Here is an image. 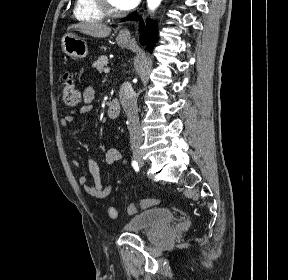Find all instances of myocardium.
I'll return each instance as SVG.
<instances>
[{"label": "myocardium", "mask_w": 288, "mask_h": 280, "mask_svg": "<svg viewBox=\"0 0 288 280\" xmlns=\"http://www.w3.org/2000/svg\"><path fill=\"white\" fill-rule=\"evenodd\" d=\"M98 8L104 16L117 17L120 15V11L115 9L109 2V0H96Z\"/></svg>", "instance_id": "obj_1"}]
</instances>
